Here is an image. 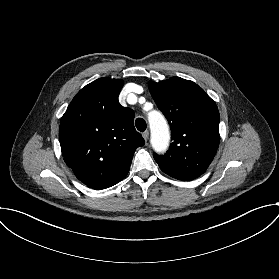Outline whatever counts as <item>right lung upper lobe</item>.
<instances>
[{"mask_svg":"<svg viewBox=\"0 0 279 279\" xmlns=\"http://www.w3.org/2000/svg\"><path fill=\"white\" fill-rule=\"evenodd\" d=\"M123 84L118 79L95 80L76 94L61 119L64 160L93 189L125 178L136 148L145 143L134 128V111L118 101Z\"/></svg>","mask_w":279,"mask_h":279,"instance_id":"1","label":"right lung upper lobe"}]
</instances>
